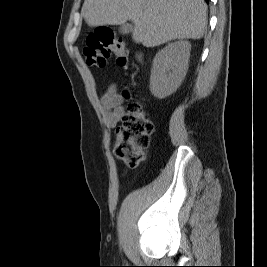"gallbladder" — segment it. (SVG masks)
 <instances>
[{
  "label": "gallbladder",
  "mask_w": 267,
  "mask_h": 267,
  "mask_svg": "<svg viewBox=\"0 0 267 267\" xmlns=\"http://www.w3.org/2000/svg\"><path fill=\"white\" fill-rule=\"evenodd\" d=\"M133 28H134V27H133L132 24L125 23V24H122V25L120 26L119 32H120L121 34H128V33H130V32L133 31Z\"/></svg>",
  "instance_id": "obj_1"
}]
</instances>
